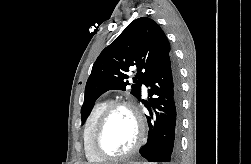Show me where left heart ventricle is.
I'll use <instances>...</instances> for the list:
<instances>
[{"label":"left heart ventricle","mask_w":251,"mask_h":164,"mask_svg":"<svg viewBox=\"0 0 251 164\" xmlns=\"http://www.w3.org/2000/svg\"><path fill=\"white\" fill-rule=\"evenodd\" d=\"M137 134V124L132 113L126 108H118L105 125L100 147L108 154L124 153L134 145Z\"/></svg>","instance_id":"obj_1"}]
</instances>
